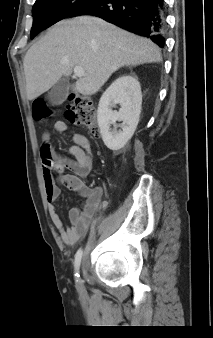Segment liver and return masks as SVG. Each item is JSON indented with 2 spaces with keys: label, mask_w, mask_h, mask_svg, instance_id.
<instances>
[{
  "label": "liver",
  "mask_w": 213,
  "mask_h": 338,
  "mask_svg": "<svg viewBox=\"0 0 213 338\" xmlns=\"http://www.w3.org/2000/svg\"><path fill=\"white\" fill-rule=\"evenodd\" d=\"M159 47L100 18L81 16L54 25L26 53L23 61L28 100L39 97L79 66L85 75L73 91L93 95L124 66L159 63Z\"/></svg>",
  "instance_id": "liver-1"
}]
</instances>
